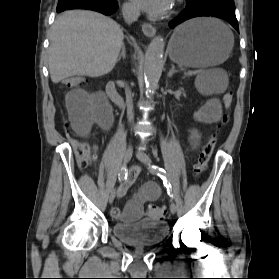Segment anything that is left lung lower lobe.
<instances>
[{"mask_svg": "<svg viewBox=\"0 0 279 279\" xmlns=\"http://www.w3.org/2000/svg\"><path fill=\"white\" fill-rule=\"evenodd\" d=\"M186 2V9L170 22L171 28L193 17L213 16L228 21L239 32L234 0H186Z\"/></svg>", "mask_w": 279, "mask_h": 279, "instance_id": "0a47b994", "label": "left lung lower lobe"}]
</instances>
